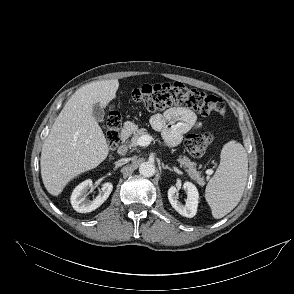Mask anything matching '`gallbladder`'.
I'll use <instances>...</instances> for the list:
<instances>
[{"instance_id": "gallbladder-1", "label": "gallbladder", "mask_w": 294, "mask_h": 294, "mask_svg": "<svg viewBox=\"0 0 294 294\" xmlns=\"http://www.w3.org/2000/svg\"><path fill=\"white\" fill-rule=\"evenodd\" d=\"M92 115L94 119L98 122H102L105 116L104 109L100 106V104H94L92 108Z\"/></svg>"}]
</instances>
